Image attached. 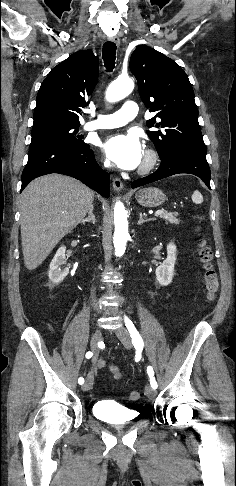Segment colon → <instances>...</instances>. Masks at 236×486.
I'll list each match as a JSON object with an SVG mask.
<instances>
[{"instance_id":"1","label":"colon","mask_w":236,"mask_h":486,"mask_svg":"<svg viewBox=\"0 0 236 486\" xmlns=\"http://www.w3.org/2000/svg\"><path fill=\"white\" fill-rule=\"evenodd\" d=\"M199 260L204 268V282L206 285L207 299L212 301L215 298L219 284L217 273L213 267V254L204 239H201L199 243ZM139 398L140 393L138 391L134 390L130 392V400L136 401Z\"/></svg>"}]
</instances>
